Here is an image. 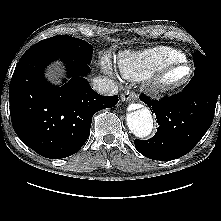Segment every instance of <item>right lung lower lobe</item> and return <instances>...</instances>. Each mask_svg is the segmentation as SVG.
<instances>
[{
    "mask_svg": "<svg viewBox=\"0 0 221 221\" xmlns=\"http://www.w3.org/2000/svg\"><path fill=\"white\" fill-rule=\"evenodd\" d=\"M60 59L68 81L51 85L45 67ZM86 63L74 61L43 46L33 45L19 60L9 87L10 115L18 137L41 156L60 159L75 154L90 134L92 116L111 108L118 96H101L84 75Z\"/></svg>",
    "mask_w": 221,
    "mask_h": 221,
    "instance_id": "obj_1",
    "label": "right lung lower lobe"
}]
</instances>
